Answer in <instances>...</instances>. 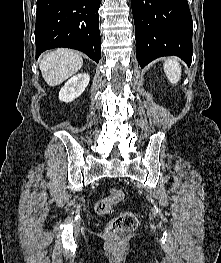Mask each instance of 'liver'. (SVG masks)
Listing matches in <instances>:
<instances>
[{"label":"liver","mask_w":221,"mask_h":263,"mask_svg":"<svg viewBox=\"0 0 221 263\" xmlns=\"http://www.w3.org/2000/svg\"><path fill=\"white\" fill-rule=\"evenodd\" d=\"M82 65L78 52L60 48L44 53L39 67L45 82L54 87L77 73Z\"/></svg>","instance_id":"liver-1"}]
</instances>
